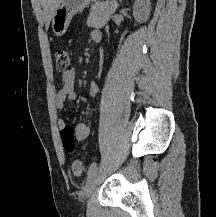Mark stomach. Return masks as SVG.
<instances>
[{
	"instance_id": "0dacf381",
	"label": "stomach",
	"mask_w": 216,
	"mask_h": 217,
	"mask_svg": "<svg viewBox=\"0 0 216 217\" xmlns=\"http://www.w3.org/2000/svg\"><path fill=\"white\" fill-rule=\"evenodd\" d=\"M93 2L97 3L99 0H60L52 17L54 35L57 37L64 35L72 17Z\"/></svg>"
}]
</instances>
